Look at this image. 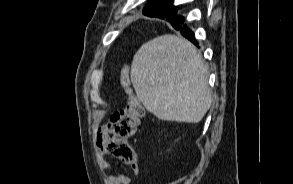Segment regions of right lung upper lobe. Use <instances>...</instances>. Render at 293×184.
Here are the masks:
<instances>
[{"label":"right lung upper lobe","instance_id":"obj_1","mask_svg":"<svg viewBox=\"0 0 293 184\" xmlns=\"http://www.w3.org/2000/svg\"><path fill=\"white\" fill-rule=\"evenodd\" d=\"M176 12L177 8L172 6L170 0H153L150 5L143 10L144 15L167 19L175 16Z\"/></svg>","mask_w":293,"mask_h":184}]
</instances>
